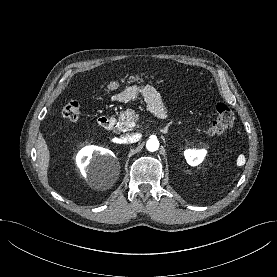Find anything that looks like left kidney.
Returning <instances> with one entry per match:
<instances>
[{"label": "left kidney", "instance_id": "left-kidney-1", "mask_svg": "<svg viewBox=\"0 0 277 277\" xmlns=\"http://www.w3.org/2000/svg\"><path fill=\"white\" fill-rule=\"evenodd\" d=\"M206 155V150H194V149H187L184 151V156L191 166L199 165Z\"/></svg>", "mask_w": 277, "mask_h": 277}]
</instances>
